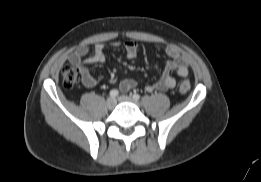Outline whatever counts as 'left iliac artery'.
Listing matches in <instances>:
<instances>
[{
  "instance_id": "obj_1",
  "label": "left iliac artery",
  "mask_w": 261,
  "mask_h": 182,
  "mask_svg": "<svg viewBox=\"0 0 261 182\" xmlns=\"http://www.w3.org/2000/svg\"><path fill=\"white\" fill-rule=\"evenodd\" d=\"M133 99L138 101L140 99V95L137 93L133 94Z\"/></svg>"
}]
</instances>
